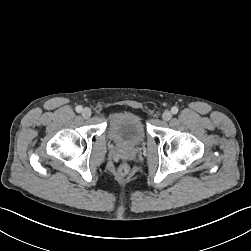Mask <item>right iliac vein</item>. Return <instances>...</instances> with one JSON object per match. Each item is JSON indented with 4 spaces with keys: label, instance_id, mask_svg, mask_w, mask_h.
I'll list each match as a JSON object with an SVG mask.
<instances>
[{
    "label": "right iliac vein",
    "instance_id": "63e3f726",
    "mask_svg": "<svg viewBox=\"0 0 251 251\" xmlns=\"http://www.w3.org/2000/svg\"><path fill=\"white\" fill-rule=\"evenodd\" d=\"M82 116L84 118H89L91 116V110L89 108H84L82 110Z\"/></svg>",
    "mask_w": 251,
    "mask_h": 251
}]
</instances>
